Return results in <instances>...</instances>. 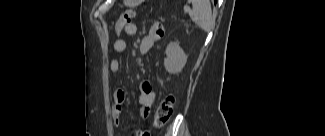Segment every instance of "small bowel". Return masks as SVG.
<instances>
[{
    "label": "small bowel",
    "instance_id": "obj_1",
    "mask_svg": "<svg viewBox=\"0 0 325 136\" xmlns=\"http://www.w3.org/2000/svg\"><path fill=\"white\" fill-rule=\"evenodd\" d=\"M138 27L135 23L127 24L118 34L124 33L128 37H133L137 34ZM164 35V27L161 24L152 26L150 32L145 35L139 44V51L142 54L148 53L155 42L159 41ZM114 50L117 53H123L127 50V42L123 38H116L113 44ZM122 68V61L119 58H113L110 61V69L114 73H118ZM126 99V93L123 89L119 88L115 91L112 115L115 124L120 123V117L122 112V103ZM138 102L140 105V116L142 119H147L150 116L151 108L154 103V92L152 86L149 83H142L138 89ZM146 130H133V134L136 136H143Z\"/></svg>",
    "mask_w": 325,
    "mask_h": 136
}]
</instances>
